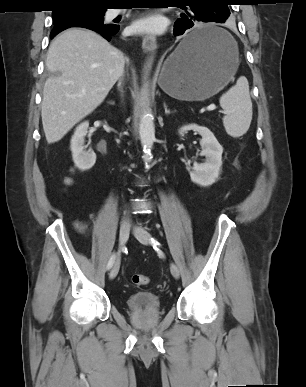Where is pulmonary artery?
Masks as SVG:
<instances>
[{
    "instance_id": "obj_1",
    "label": "pulmonary artery",
    "mask_w": 306,
    "mask_h": 387,
    "mask_svg": "<svg viewBox=\"0 0 306 387\" xmlns=\"http://www.w3.org/2000/svg\"><path fill=\"white\" fill-rule=\"evenodd\" d=\"M123 10H118V9H114V10H111L109 13H108V16L113 18V17H116L117 15H119L120 13H122Z\"/></svg>"
}]
</instances>
